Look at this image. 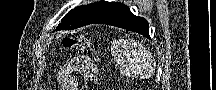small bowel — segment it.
<instances>
[{"mask_svg":"<svg viewBox=\"0 0 216 90\" xmlns=\"http://www.w3.org/2000/svg\"><path fill=\"white\" fill-rule=\"evenodd\" d=\"M81 72L86 79L93 80L97 77V67L92 62L69 63L58 73L60 90H78L77 79L74 75Z\"/></svg>","mask_w":216,"mask_h":90,"instance_id":"small-bowel-1","label":"small bowel"}]
</instances>
